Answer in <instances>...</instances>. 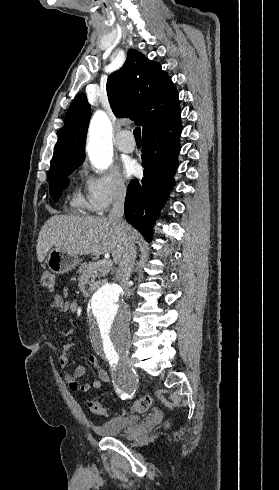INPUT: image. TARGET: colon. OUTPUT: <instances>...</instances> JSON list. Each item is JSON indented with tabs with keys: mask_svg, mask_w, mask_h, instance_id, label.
I'll use <instances>...</instances> for the list:
<instances>
[{
	"mask_svg": "<svg viewBox=\"0 0 279 490\" xmlns=\"http://www.w3.org/2000/svg\"><path fill=\"white\" fill-rule=\"evenodd\" d=\"M40 284L43 288L53 290L56 286V276L50 270L42 272L40 277ZM153 403V399L150 396H145L137 399L126 411L134 414L146 412ZM88 409L95 415H106V409L101 401L92 400L88 402Z\"/></svg>",
	"mask_w": 279,
	"mask_h": 490,
	"instance_id": "colon-1",
	"label": "colon"
}]
</instances>
